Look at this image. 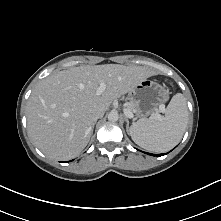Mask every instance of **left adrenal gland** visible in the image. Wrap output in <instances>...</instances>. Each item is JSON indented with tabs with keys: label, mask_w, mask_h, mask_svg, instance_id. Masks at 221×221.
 <instances>
[{
	"label": "left adrenal gland",
	"mask_w": 221,
	"mask_h": 221,
	"mask_svg": "<svg viewBox=\"0 0 221 221\" xmlns=\"http://www.w3.org/2000/svg\"><path fill=\"white\" fill-rule=\"evenodd\" d=\"M125 121H126V130H127V132H129V120H128V118L127 117H125Z\"/></svg>",
	"instance_id": "left-adrenal-gland-1"
}]
</instances>
